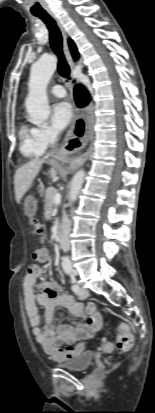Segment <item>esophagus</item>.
<instances>
[{
    "label": "esophagus",
    "instance_id": "esophagus-1",
    "mask_svg": "<svg viewBox=\"0 0 155 413\" xmlns=\"http://www.w3.org/2000/svg\"><path fill=\"white\" fill-rule=\"evenodd\" d=\"M49 14H50L54 19H56L53 13L49 12ZM56 21H57V24H58V26H59V28H60V30H61V33H62V37H63V50H64V54H65L66 60H67V62H68V64H69V66L72 68V67H73V59H72V56H71V53H70V50H69V47H68L66 32H65L64 28L62 27L61 23H60L57 19H56ZM72 82H73L74 85H76V84L79 83V81H78L77 79H74V78L72 79ZM81 115H82V112L79 111V110H76V120H77ZM72 135H73V133H69V137L72 136ZM70 145H71V141H70V142H66V143L62 146L61 151L63 152V154L67 155V153H70V152L72 151V149L76 148V146H74V148H71V149H70ZM91 151H92V147L90 146L85 153H83V154L80 155V156L74 157V158L72 159V161H71V164H70L69 168L72 169V170H74V169L78 168L79 166H81V165L88 159V157H89L90 154H91Z\"/></svg>",
    "mask_w": 155,
    "mask_h": 413
}]
</instances>
